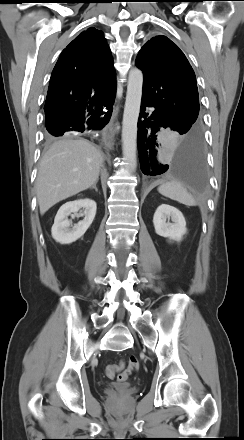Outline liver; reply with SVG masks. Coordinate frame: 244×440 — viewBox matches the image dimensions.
<instances>
[{"instance_id":"1","label":"liver","mask_w":244,"mask_h":440,"mask_svg":"<svg viewBox=\"0 0 244 440\" xmlns=\"http://www.w3.org/2000/svg\"><path fill=\"white\" fill-rule=\"evenodd\" d=\"M103 162L101 151L84 139L64 137L55 141L38 168L36 195L40 214L90 188L98 181Z\"/></svg>"}]
</instances>
